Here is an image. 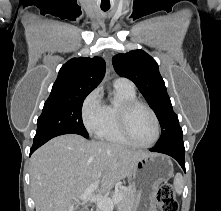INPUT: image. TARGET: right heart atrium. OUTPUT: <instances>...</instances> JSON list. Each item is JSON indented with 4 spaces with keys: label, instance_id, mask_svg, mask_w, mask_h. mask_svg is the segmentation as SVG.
Returning <instances> with one entry per match:
<instances>
[{
    "label": "right heart atrium",
    "instance_id": "obj_1",
    "mask_svg": "<svg viewBox=\"0 0 221 211\" xmlns=\"http://www.w3.org/2000/svg\"><path fill=\"white\" fill-rule=\"evenodd\" d=\"M80 113L86 130L90 134L98 135L106 123V105L98 88L84 98Z\"/></svg>",
    "mask_w": 221,
    "mask_h": 211
}]
</instances>
